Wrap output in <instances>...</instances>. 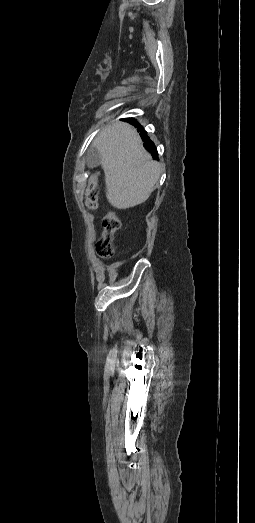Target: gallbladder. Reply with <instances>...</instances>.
<instances>
[{
	"instance_id": "bac80fb5",
	"label": "gallbladder",
	"mask_w": 255,
	"mask_h": 523,
	"mask_svg": "<svg viewBox=\"0 0 255 523\" xmlns=\"http://www.w3.org/2000/svg\"><path fill=\"white\" fill-rule=\"evenodd\" d=\"M86 158L88 168H96V166H100L101 156L98 148H95V146H91V148L87 150Z\"/></svg>"
}]
</instances>
